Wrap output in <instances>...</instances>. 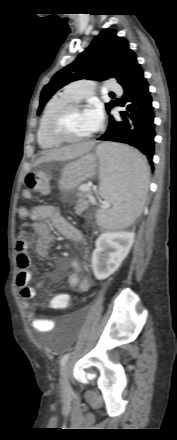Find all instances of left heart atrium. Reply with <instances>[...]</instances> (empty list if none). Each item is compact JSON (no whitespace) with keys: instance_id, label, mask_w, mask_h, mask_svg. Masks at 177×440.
<instances>
[{"instance_id":"39dd6f15","label":"left heart atrium","mask_w":177,"mask_h":440,"mask_svg":"<svg viewBox=\"0 0 177 440\" xmlns=\"http://www.w3.org/2000/svg\"><path fill=\"white\" fill-rule=\"evenodd\" d=\"M86 117L91 132L96 131L103 121V111L99 105L86 110Z\"/></svg>"}]
</instances>
